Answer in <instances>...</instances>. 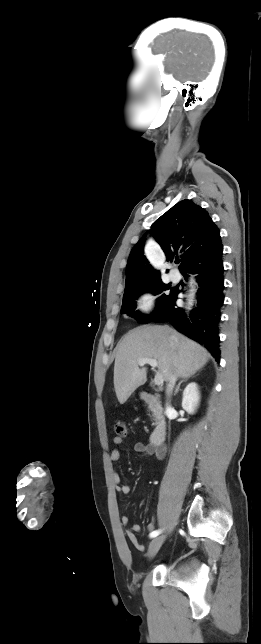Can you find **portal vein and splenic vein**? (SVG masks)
<instances>
[{
    "label": "portal vein and splenic vein",
    "instance_id": "18ae733b",
    "mask_svg": "<svg viewBox=\"0 0 261 644\" xmlns=\"http://www.w3.org/2000/svg\"><path fill=\"white\" fill-rule=\"evenodd\" d=\"M145 364H149L151 367L155 368L157 367V360L153 358H141L138 360V365L139 366H144ZM163 376L160 372H157L154 378V383L155 385L159 386L163 384Z\"/></svg>",
    "mask_w": 261,
    "mask_h": 644
}]
</instances>
